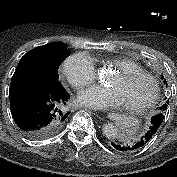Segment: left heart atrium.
<instances>
[{
	"label": "left heart atrium",
	"mask_w": 177,
	"mask_h": 177,
	"mask_svg": "<svg viewBox=\"0 0 177 177\" xmlns=\"http://www.w3.org/2000/svg\"><path fill=\"white\" fill-rule=\"evenodd\" d=\"M79 102L92 108L106 109L123 105L117 90L109 87L91 86L78 95Z\"/></svg>",
	"instance_id": "left-heart-atrium-1"
}]
</instances>
